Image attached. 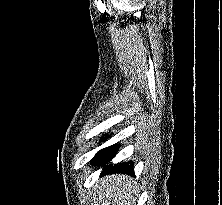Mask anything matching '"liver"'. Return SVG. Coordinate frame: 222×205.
I'll use <instances>...</instances> for the list:
<instances>
[{
	"label": "liver",
	"mask_w": 222,
	"mask_h": 205,
	"mask_svg": "<svg viewBox=\"0 0 222 205\" xmlns=\"http://www.w3.org/2000/svg\"><path fill=\"white\" fill-rule=\"evenodd\" d=\"M135 182L127 175H108L94 186L95 201L101 205H134Z\"/></svg>",
	"instance_id": "obj_1"
}]
</instances>
